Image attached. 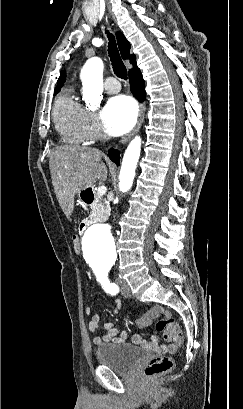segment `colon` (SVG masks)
Listing matches in <instances>:
<instances>
[{"mask_svg": "<svg viewBox=\"0 0 243 409\" xmlns=\"http://www.w3.org/2000/svg\"><path fill=\"white\" fill-rule=\"evenodd\" d=\"M73 250L75 253L80 252L79 238L73 237ZM161 317L155 324L158 332H161L165 338L175 337L179 344L182 343L183 334L173 319L171 313L161 306L152 307L144 316L137 320V325L147 326L155 319ZM175 361L171 356H159L149 361L145 367V375L152 379L170 372L174 367Z\"/></svg>", "mask_w": 243, "mask_h": 409, "instance_id": "obj_1", "label": "colon"}]
</instances>
